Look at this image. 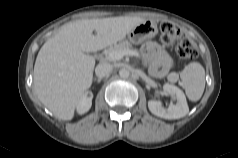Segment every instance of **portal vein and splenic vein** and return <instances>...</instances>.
I'll return each mask as SVG.
<instances>
[{"mask_svg":"<svg viewBox=\"0 0 238 158\" xmlns=\"http://www.w3.org/2000/svg\"><path fill=\"white\" fill-rule=\"evenodd\" d=\"M124 56H139L134 50L113 51L108 54V58L113 61L121 60Z\"/></svg>","mask_w":238,"mask_h":158,"instance_id":"18ae733b","label":"portal vein and splenic vein"}]
</instances>
